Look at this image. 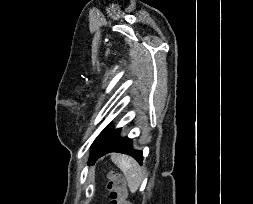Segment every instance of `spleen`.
<instances>
[{"mask_svg":"<svg viewBox=\"0 0 253 204\" xmlns=\"http://www.w3.org/2000/svg\"><path fill=\"white\" fill-rule=\"evenodd\" d=\"M111 159L124 173L130 191L135 193L144 178V172L142 168L133 158L125 155H112Z\"/></svg>","mask_w":253,"mask_h":204,"instance_id":"spleen-1","label":"spleen"}]
</instances>
